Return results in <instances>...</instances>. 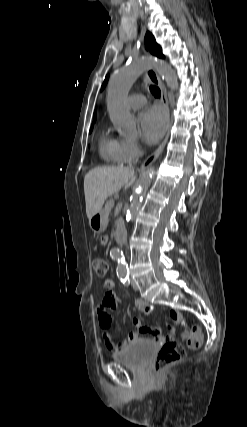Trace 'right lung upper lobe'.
<instances>
[{"label": "right lung upper lobe", "mask_w": 247, "mask_h": 427, "mask_svg": "<svg viewBox=\"0 0 247 427\" xmlns=\"http://www.w3.org/2000/svg\"><path fill=\"white\" fill-rule=\"evenodd\" d=\"M93 120L94 121L96 120V113H94Z\"/></svg>", "instance_id": "1"}]
</instances>
